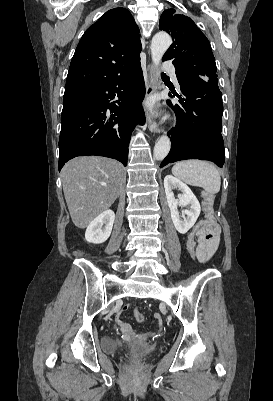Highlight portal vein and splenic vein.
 Instances as JSON below:
<instances>
[{
  "label": "portal vein and splenic vein",
  "instance_id": "obj_1",
  "mask_svg": "<svg viewBox=\"0 0 273 401\" xmlns=\"http://www.w3.org/2000/svg\"><path fill=\"white\" fill-rule=\"evenodd\" d=\"M101 184H106V182H101Z\"/></svg>",
  "mask_w": 273,
  "mask_h": 401
}]
</instances>
